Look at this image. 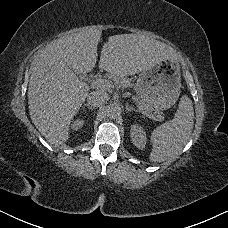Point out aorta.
<instances>
[{"label": "aorta", "mask_w": 228, "mask_h": 228, "mask_svg": "<svg viewBox=\"0 0 228 228\" xmlns=\"http://www.w3.org/2000/svg\"><path fill=\"white\" fill-rule=\"evenodd\" d=\"M121 112V108L118 104H112L108 106L107 114L110 117H115Z\"/></svg>", "instance_id": "aorta-1"}]
</instances>
